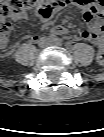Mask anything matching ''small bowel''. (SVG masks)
<instances>
[{
  "instance_id": "small-bowel-1",
  "label": "small bowel",
  "mask_w": 104,
  "mask_h": 137,
  "mask_svg": "<svg viewBox=\"0 0 104 137\" xmlns=\"http://www.w3.org/2000/svg\"><path fill=\"white\" fill-rule=\"evenodd\" d=\"M73 3L81 9L83 19L86 21L88 28L80 31L76 39H84L93 42L99 48L103 46L102 32H103V17L102 9L95 4V0H73ZM22 16L21 18H23ZM53 33L57 35H64L68 33V29L64 26L58 25L53 28ZM9 43L8 34L0 36V46L7 47ZM101 55L99 54V58Z\"/></svg>"
}]
</instances>
